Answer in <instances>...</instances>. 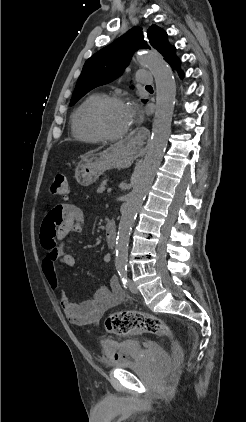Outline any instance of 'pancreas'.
I'll return each instance as SVG.
<instances>
[{
    "label": "pancreas",
    "instance_id": "cf45deb5",
    "mask_svg": "<svg viewBox=\"0 0 246 422\" xmlns=\"http://www.w3.org/2000/svg\"><path fill=\"white\" fill-rule=\"evenodd\" d=\"M106 185H107V179H105V180H103V181L101 182V185H100V187L97 189V192H98V193H102V192H104V191H105V189H106Z\"/></svg>",
    "mask_w": 246,
    "mask_h": 422
}]
</instances>
